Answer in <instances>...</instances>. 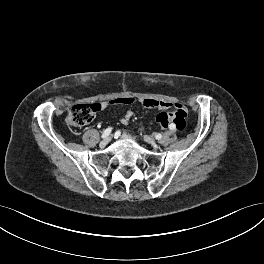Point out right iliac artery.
Wrapping results in <instances>:
<instances>
[{"label": "right iliac artery", "mask_w": 264, "mask_h": 264, "mask_svg": "<svg viewBox=\"0 0 264 264\" xmlns=\"http://www.w3.org/2000/svg\"><path fill=\"white\" fill-rule=\"evenodd\" d=\"M112 131L111 127H108L104 132L102 133V138H106Z\"/></svg>", "instance_id": "right-iliac-artery-1"}]
</instances>
